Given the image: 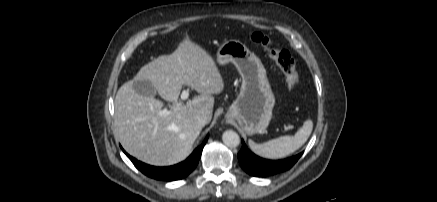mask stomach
<instances>
[{"instance_id": "0dacf381", "label": "stomach", "mask_w": 437, "mask_h": 202, "mask_svg": "<svg viewBox=\"0 0 437 202\" xmlns=\"http://www.w3.org/2000/svg\"><path fill=\"white\" fill-rule=\"evenodd\" d=\"M217 61L220 65L233 63L242 78L240 93L226 117L236 120L248 135L264 133L272 118L275 96L261 60L240 41L229 40L218 48Z\"/></svg>"}]
</instances>
